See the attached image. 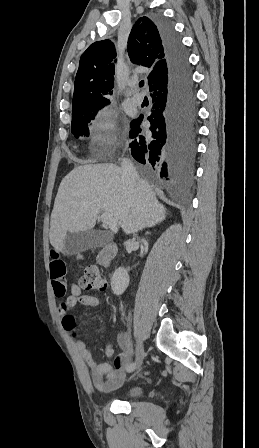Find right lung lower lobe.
Returning a JSON list of instances; mask_svg holds the SVG:
<instances>
[{
  "label": "right lung lower lobe",
  "mask_w": 259,
  "mask_h": 448,
  "mask_svg": "<svg viewBox=\"0 0 259 448\" xmlns=\"http://www.w3.org/2000/svg\"><path fill=\"white\" fill-rule=\"evenodd\" d=\"M169 69L168 84L151 94L147 117L150 133L141 134L143 115L130 125L129 144L135 160L150 165L160 177L173 184H188L196 160V96L187 53L171 24L156 20Z\"/></svg>",
  "instance_id": "obj_1"
}]
</instances>
